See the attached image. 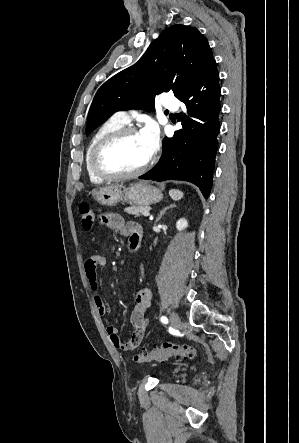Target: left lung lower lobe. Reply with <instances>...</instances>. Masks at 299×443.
Returning <instances> with one entry per match:
<instances>
[{
	"mask_svg": "<svg viewBox=\"0 0 299 443\" xmlns=\"http://www.w3.org/2000/svg\"><path fill=\"white\" fill-rule=\"evenodd\" d=\"M221 90L216 61L178 99L185 109L178 114L183 128L165 138L159 162L141 179L185 180L196 184L208 197L218 149Z\"/></svg>",
	"mask_w": 299,
	"mask_h": 443,
	"instance_id": "obj_1",
	"label": "left lung lower lobe"
}]
</instances>
